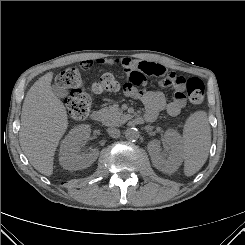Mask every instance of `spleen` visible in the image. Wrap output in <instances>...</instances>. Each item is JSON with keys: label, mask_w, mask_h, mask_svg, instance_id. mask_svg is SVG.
Masks as SVG:
<instances>
[{"label": "spleen", "mask_w": 245, "mask_h": 245, "mask_svg": "<svg viewBox=\"0 0 245 245\" xmlns=\"http://www.w3.org/2000/svg\"><path fill=\"white\" fill-rule=\"evenodd\" d=\"M184 172L192 176L207 160L211 144V131L204 111H196L185 122L183 130Z\"/></svg>", "instance_id": "3e777b00"}]
</instances>
